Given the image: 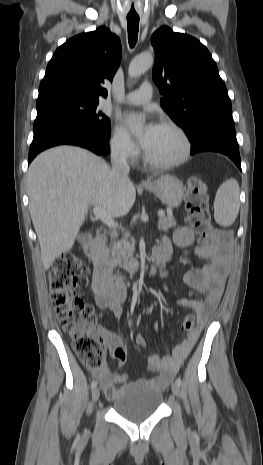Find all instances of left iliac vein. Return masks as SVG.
I'll use <instances>...</instances> for the list:
<instances>
[{"label": "left iliac vein", "instance_id": "left-iliac-vein-1", "mask_svg": "<svg viewBox=\"0 0 263 465\" xmlns=\"http://www.w3.org/2000/svg\"><path fill=\"white\" fill-rule=\"evenodd\" d=\"M172 392L174 395L179 396L180 395V386L177 384V382L172 383L171 385Z\"/></svg>", "mask_w": 263, "mask_h": 465}]
</instances>
